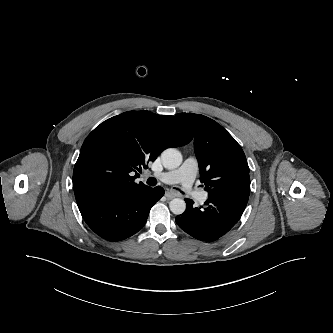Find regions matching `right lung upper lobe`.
Instances as JSON below:
<instances>
[{
  "label": "right lung upper lobe",
  "mask_w": 333,
  "mask_h": 333,
  "mask_svg": "<svg viewBox=\"0 0 333 333\" xmlns=\"http://www.w3.org/2000/svg\"><path fill=\"white\" fill-rule=\"evenodd\" d=\"M192 134L178 118L149 111H128L96 127L85 139L73 171L76 201L94 195L129 196L142 167L167 147L189 143Z\"/></svg>",
  "instance_id": "right-lung-upper-lobe-1"
}]
</instances>
